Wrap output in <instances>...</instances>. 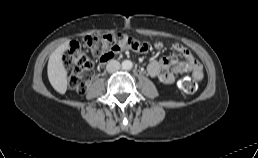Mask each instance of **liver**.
I'll return each mask as SVG.
<instances>
[{
    "instance_id": "6515ba94",
    "label": "liver",
    "mask_w": 258,
    "mask_h": 158,
    "mask_svg": "<svg viewBox=\"0 0 258 158\" xmlns=\"http://www.w3.org/2000/svg\"><path fill=\"white\" fill-rule=\"evenodd\" d=\"M68 47L69 41L58 46L50 55L47 66L49 82L60 94H64L67 90V70L63 64L62 55Z\"/></svg>"
}]
</instances>
